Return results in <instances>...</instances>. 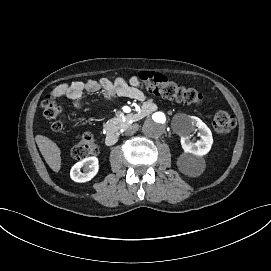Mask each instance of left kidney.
I'll return each instance as SVG.
<instances>
[{
	"mask_svg": "<svg viewBox=\"0 0 271 271\" xmlns=\"http://www.w3.org/2000/svg\"><path fill=\"white\" fill-rule=\"evenodd\" d=\"M186 123L191 129L196 127L200 140L193 142L190 140L188 132L181 133V145L185 151V155H182L181 160H187L186 156H189L188 154L199 157L207 154L213 143L211 130L201 119L195 116H188Z\"/></svg>",
	"mask_w": 271,
	"mask_h": 271,
	"instance_id": "left-kidney-1",
	"label": "left kidney"
}]
</instances>
